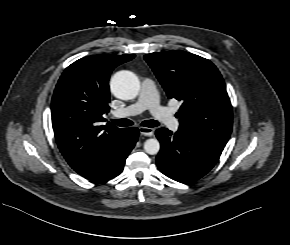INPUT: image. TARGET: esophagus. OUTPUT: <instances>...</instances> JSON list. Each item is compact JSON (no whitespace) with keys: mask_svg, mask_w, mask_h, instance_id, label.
<instances>
[{"mask_svg":"<svg viewBox=\"0 0 290 245\" xmlns=\"http://www.w3.org/2000/svg\"><path fill=\"white\" fill-rule=\"evenodd\" d=\"M139 132L144 135V136H148L151 137L154 135V129L153 128H149V127H140L139 128Z\"/></svg>","mask_w":290,"mask_h":245,"instance_id":"34e87169","label":"esophagus"}]
</instances>
